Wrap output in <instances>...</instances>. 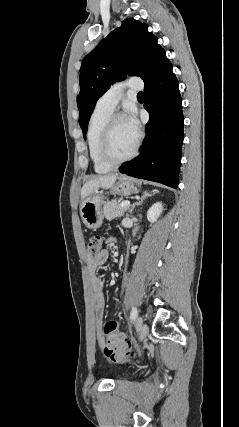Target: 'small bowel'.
<instances>
[{"label":"small bowel","mask_w":239,"mask_h":427,"mask_svg":"<svg viewBox=\"0 0 239 427\" xmlns=\"http://www.w3.org/2000/svg\"><path fill=\"white\" fill-rule=\"evenodd\" d=\"M109 256V252L106 248L101 249L95 257H88L86 261L90 289H91V303L94 312L96 326L100 332L104 314L105 300L103 296L104 280L97 275V268L103 265ZM98 345L104 346V339L99 333Z\"/></svg>","instance_id":"obj_1"}]
</instances>
